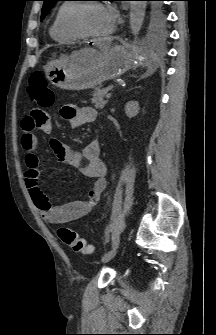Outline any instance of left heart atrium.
I'll use <instances>...</instances> for the list:
<instances>
[{
    "mask_svg": "<svg viewBox=\"0 0 216 335\" xmlns=\"http://www.w3.org/2000/svg\"><path fill=\"white\" fill-rule=\"evenodd\" d=\"M105 12H106L107 18H108V20L111 24V27H112L115 23L116 18H117V12L113 7H106Z\"/></svg>",
    "mask_w": 216,
    "mask_h": 335,
    "instance_id": "39dd6f15",
    "label": "left heart atrium"
}]
</instances>
